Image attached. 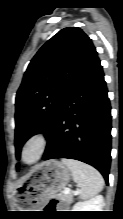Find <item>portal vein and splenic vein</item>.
<instances>
[{
  "label": "portal vein and splenic vein",
  "instance_id": "obj_1",
  "mask_svg": "<svg viewBox=\"0 0 123 219\" xmlns=\"http://www.w3.org/2000/svg\"><path fill=\"white\" fill-rule=\"evenodd\" d=\"M71 192V190L69 189V188H66L64 191H63V193L64 194H69ZM78 194V192H75L74 193V195H77Z\"/></svg>",
  "mask_w": 123,
  "mask_h": 219
}]
</instances>
